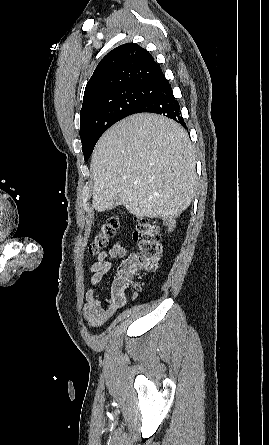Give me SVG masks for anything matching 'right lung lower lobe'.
Here are the masks:
<instances>
[{"instance_id":"obj_1","label":"right lung lower lobe","mask_w":269,"mask_h":445,"mask_svg":"<svg viewBox=\"0 0 269 445\" xmlns=\"http://www.w3.org/2000/svg\"><path fill=\"white\" fill-rule=\"evenodd\" d=\"M155 95L141 105L135 113L152 112L169 117L185 126L178 101L173 95L172 88L165 76L154 86Z\"/></svg>"}]
</instances>
